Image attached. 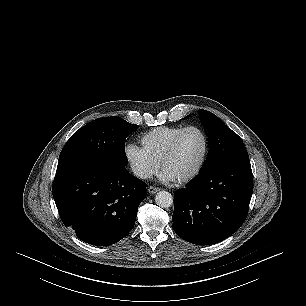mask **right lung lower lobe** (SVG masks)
<instances>
[{"label": "right lung lower lobe", "mask_w": 306, "mask_h": 306, "mask_svg": "<svg viewBox=\"0 0 306 306\" xmlns=\"http://www.w3.org/2000/svg\"><path fill=\"white\" fill-rule=\"evenodd\" d=\"M146 187L125 165L90 163L57 174L52 192L66 227L86 243L107 246L132 230Z\"/></svg>", "instance_id": "obj_1"}]
</instances>
